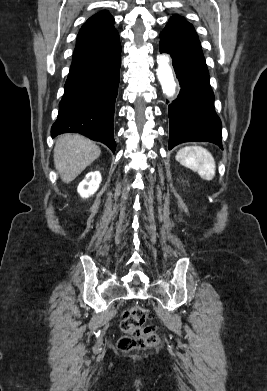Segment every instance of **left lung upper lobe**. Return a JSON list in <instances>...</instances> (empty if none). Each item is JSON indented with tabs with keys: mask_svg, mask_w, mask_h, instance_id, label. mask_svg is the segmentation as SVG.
I'll return each mask as SVG.
<instances>
[{
	"mask_svg": "<svg viewBox=\"0 0 267 391\" xmlns=\"http://www.w3.org/2000/svg\"><path fill=\"white\" fill-rule=\"evenodd\" d=\"M168 26H173L175 28H178L180 30H183L185 32H188L190 34H192L193 36H197L196 32H195V29L194 27L192 26V24H190L189 22H187L184 18H182L181 16L179 15H173L170 19H169V23L167 24Z\"/></svg>",
	"mask_w": 267,
	"mask_h": 391,
	"instance_id": "left-lung-upper-lobe-1",
	"label": "left lung upper lobe"
}]
</instances>
